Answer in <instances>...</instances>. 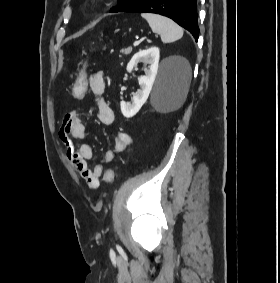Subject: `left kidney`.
Returning a JSON list of instances; mask_svg holds the SVG:
<instances>
[{
  "mask_svg": "<svg viewBox=\"0 0 280 283\" xmlns=\"http://www.w3.org/2000/svg\"><path fill=\"white\" fill-rule=\"evenodd\" d=\"M160 52L158 47H151L146 50H141L136 53L127 65L126 70L130 73L133 68L139 62H145L149 64V69L145 71L144 76L138 78L140 89L133 96L132 103H126L121 101L120 108L124 117H133L147 101L149 94L152 90L153 83L155 81L158 65H159ZM172 59H178L184 64L186 61L182 58L172 57Z\"/></svg>",
  "mask_w": 280,
  "mask_h": 283,
  "instance_id": "1",
  "label": "left kidney"
}]
</instances>
